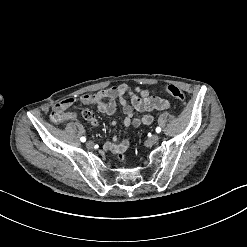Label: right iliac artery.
I'll list each match as a JSON object with an SVG mask.
<instances>
[{
    "label": "right iliac artery",
    "instance_id": "obj_1",
    "mask_svg": "<svg viewBox=\"0 0 247 247\" xmlns=\"http://www.w3.org/2000/svg\"><path fill=\"white\" fill-rule=\"evenodd\" d=\"M80 141H81V142H85V141H86V138H85V137H81V138H80Z\"/></svg>",
    "mask_w": 247,
    "mask_h": 247
}]
</instances>
